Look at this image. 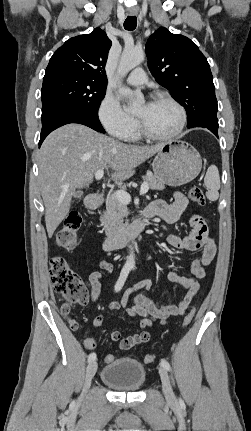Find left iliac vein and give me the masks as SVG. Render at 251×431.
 <instances>
[{"label":"left iliac vein","instance_id":"left-iliac-vein-1","mask_svg":"<svg viewBox=\"0 0 251 431\" xmlns=\"http://www.w3.org/2000/svg\"><path fill=\"white\" fill-rule=\"evenodd\" d=\"M159 374L162 382L163 393L167 401H174L175 396L171 387L169 375L164 367H159Z\"/></svg>","mask_w":251,"mask_h":431}]
</instances>
